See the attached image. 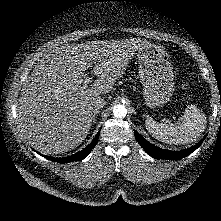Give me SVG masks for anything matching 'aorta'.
Here are the masks:
<instances>
[{
	"label": "aorta",
	"mask_w": 221,
	"mask_h": 221,
	"mask_svg": "<svg viewBox=\"0 0 221 221\" xmlns=\"http://www.w3.org/2000/svg\"><path fill=\"white\" fill-rule=\"evenodd\" d=\"M113 115L116 118H124L127 115V109L124 105H116L113 109Z\"/></svg>",
	"instance_id": "762f6f07"
}]
</instances>
